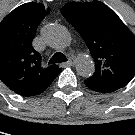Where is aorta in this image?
I'll return each instance as SVG.
<instances>
[{
	"label": "aorta",
	"instance_id": "762f6f07",
	"mask_svg": "<svg viewBox=\"0 0 135 135\" xmlns=\"http://www.w3.org/2000/svg\"><path fill=\"white\" fill-rule=\"evenodd\" d=\"M44 41L53 49L63 50L71 43L69 31L61 25L51 24L43 32ZM76 70L82 77H89L94 72V64L87 55H80L76 59Z\"/></svg>",
	"mask_w": 135,
	"mask_h": 135
}]
</instances>
